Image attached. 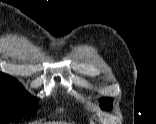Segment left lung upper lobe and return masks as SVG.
<instances>
[{"instance_id":"1","label":"left lung upper lobe","mask_w":156,"mask_h":124,"mask_svg":"<svg viewBox=\"0 0 156 124\" xmlns=\"http://www.w3.org/2000/svg\"><path fill=\"white\" fill-rule=\"evenodd\" d=\"M100 106L103 110H110L112 108V99L111 98L101 99Z\"/></svg>"}]
</instances>
